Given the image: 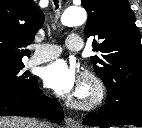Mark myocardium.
<instances>
[{"mask_svg":"<svg viewBox=\"0 0 142 128\" xmlns=\"http://www.w3.org/2000/svg\"><path fill=\"white\" fill-rule=\"evenodd\" d=\"M105 97L106 87L101 78L91 71H85L80 89L70 99V104L78 109L91 110L101 105Z\"/></svg>","mask_w":142,"mask_h":128,"instance_id":"1","label":"myocardium"}]
</instances>
